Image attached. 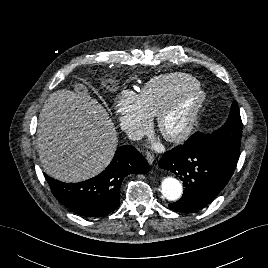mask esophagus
Segmentation results:
<instances>
[{
  "label": "esophagus",
  "mask_w": 268,
  "mask_h": 268,
  "mask_svg": "<svg viewBox=\"0 0 268 268\" xmlns=\"http://www.w3.org/2000/svg\"><path fill=\"white\" fill-rule=\"evenodd\" d=\"M154 159H155V157H154V155H153L151 152H147V153H146V160H147V162H148L150 165L153 164Z\"/></svg>",
  "instance_id": "34e87169"
}]
</instances>
